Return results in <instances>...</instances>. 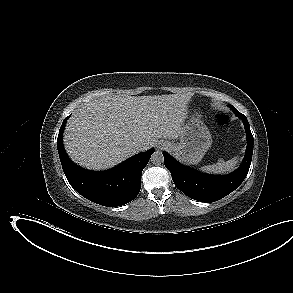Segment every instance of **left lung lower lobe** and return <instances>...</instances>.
Masks as SVG:
<instances>
[{
	"label": "left lung lower lobe",
	"instance_id": "0a47b994",
	"mask_svg": "<svg viewBox=\"0 0 293 293\" xmlns=\"http://www.w3.org/2000/svg\"><path fill=\"white\" fill-rule=\"evenodd\" d=\"M246 130L247 148L242 165L228 175H208L178 163L167 152H163L164 163L172 174L175 185L188 197L201 202H214L230 194L243 182L248 174L253 154V136L245 115L238 113Z\"/></svg>",
	"mask_w": 293,
	"mask_h": 293
}]
</instances>
